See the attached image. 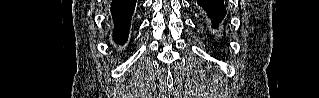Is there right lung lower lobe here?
<instances>
[{
    "instance_id": "98d812e1",
    "label": "right lung lower lobe",
    "mask_w": 319,
    "mask_h": 98,
    "mask_svg": "<svg viewBox=\"0 0 319 98\" xmlns=\"http://www.w3.org/2000/svg\"><path fill=\"white\" fill-rule=\"evenodd\" d=\"M135 2V0H113L111 3L110 11L114 23L113 39L116 43L123 44L127 40Z\"/></svg>"
}]
</instances>
